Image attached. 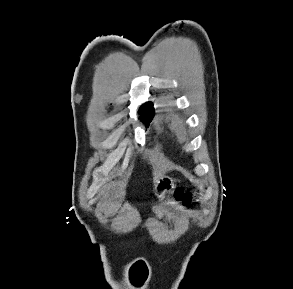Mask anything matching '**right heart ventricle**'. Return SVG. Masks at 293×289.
I'll use <instances>...</instances> for the list:
<instances>
[{
    "instance_id": "right-heart-ventricle-1",
    "label": "right heart ventricle",
    "mask_w": 293,
    "mask_h": 289,
    "mask_svg": "<svg viewBox=\"0 0 293 289\" xmlns=\"http://www.w3.org/2000/svg\"><path fill=\"white\" fill-rule=\"evenodd\" d=\"M159 122L166 123L171 136L177 139L178 141H183L187 137V133L185 128L183 127L182 122L180 119L173 115V114H167L164 117H162Z\"/></svg>"
}]
</instances>
